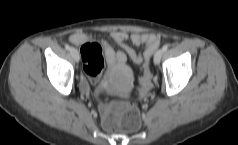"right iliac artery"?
<instances>
[{
	"label": "right iliac artery",
	"mask_w": 238,
	"mask_h": 145,
	"mask_svg": "<svg viewBox=\"0 0 238 145\" xmlns=\"http://www.w3.org/2000/svg\"><path fill=\"white\" fill-rule=\"evenodd\" d=\"M65 48H66V50H68V51L71 49V47H70L69 44H66V45H65Z\"/></svg>",
	"instance_id": "82829eb1"
}]
</instances>
